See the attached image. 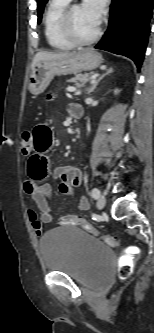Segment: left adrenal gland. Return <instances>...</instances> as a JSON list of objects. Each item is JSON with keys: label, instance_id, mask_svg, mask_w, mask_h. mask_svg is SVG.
Listing matches in <instances>:
<instances>
[{"label": "left adrenal gland", "instance_id": "obj_1", "mask_svg": "<svg viewBox=\"0 0 154 333\" xmlns=\"http://www.w3.org/2000/svg\"><path fill=\"white\" fill-rule=\"evenodd\" d=\"M112 72H113V69H112V68L107 69L106 73H104L101 77H99L97 80L94 81L92 87H91V88L89 89V91H88V94H90L91 92H93V91L96 89L98 83H99V82H100V81H101L106 75H109V74L112 73Z\"/></svg>", "mask_w": 154, "mask_h": 333}]
</instances>
